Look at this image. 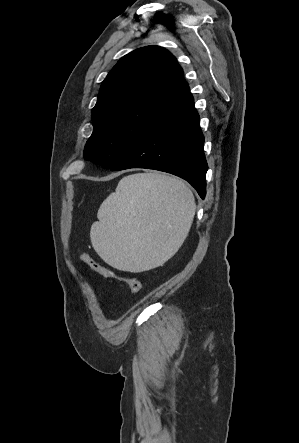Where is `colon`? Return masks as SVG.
<instances>
[{
    "label": "colon",
    "mask_w": 299,
    "mask_h": 443,
    "mask_svg": "<svg viewBox=\"0 0 299 443\" xmlns=\"http://www.w3.org/2000/svg\"><path fill=\"white\" fill-rule=\"evenodd\" d=\"M79 257L83 263L88 265L91 269L98 272L99 274H101L107 278H111V279L125 282L129 286L132 294H138L140 292V290L142 288V284L138 278H136L134 276L120 275L117 272H115L114 270H112L111 268H108V267L102 265L101 263H99L97 260H95L92 256H90L87 253H80Z\"/></svg>",
    "instance_id": "colon-1"
}]
</instances>
